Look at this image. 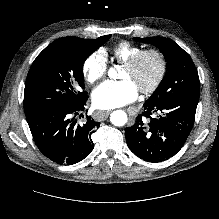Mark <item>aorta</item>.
I'll return each instance as SVG.
<instances>
[{
  "label": "aorta",
  "instance_id": "762f6f07",
  "mask_svg": "<svg viewBox=\"0 0 219 219\" xmlns=\"http://www.w3.org/2000/svg\"><path fill=\"white\" fill-rule=\"evenodd\" d=\"M108 76L111 79H116L117 71L115 68H110L108 70ZM127 114L123 110L113 111L110 115V121L115 126H124L127 123Z\"/></svg>",
  "mask_w": 219,
  "mask_h": 219
}]
</instances>
